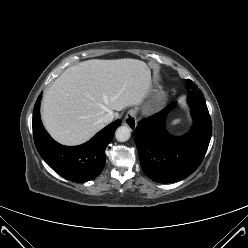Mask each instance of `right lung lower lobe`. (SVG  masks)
I'll list each match as a JSON object with an SVG mask.
<instances>
[{"label":"right lung lower lobe","mask_w":248,"mask_h":248,"mask_svg":"<svg viewBox=\"0 0 248 248\" xmlns=\"http://www.w3.org/2000/svg\"><path fill=\"white\" fill-rule=\"evenodd\" d=\"M39 95L33 111V132L36 148L45 162L65 179L86 182L97 177L105 165V149L111 142L121 120H116L91 140L79 146H63L54 141L40 119Z\"/></svg>","instance_id":"98d812e1"}]
</instances>
